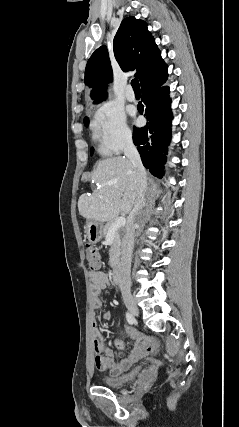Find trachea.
<instances>
[{
  "label": "trachea",
  "instance_id": "1",
  "mask_svg": "<svg viewBox=\"0 0 239 427\" xmlns=\"http://www.w3.org/2000/svg\"><path fill=\"white\" fill-rule=\"evenodd\" d=\"M131 85H132V88H133L134 92H139V93L141 92L140 84H139L138 79H133L131 81Z\"/></svg>",
  "mask_w": 239,
  "mask_h": 427
}]
</instances>
